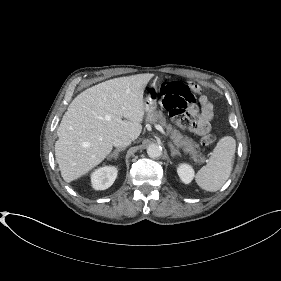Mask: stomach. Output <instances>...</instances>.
<instances>
[{"instance_id": "obj_1", "label": "stomach", "mask_w": 281, "mask_h": 281, "mask_svg": "<svg viewBox=\"0 0 281 281\" xmlns=\"http://www.w3.org/2000/svg\"><path fill=\"white\" fill-rule=\"evenodd\" d=\"M144 108L146 112H152L157 108L156 102V89L151 88L148 96L143 100Z\"/></svg>"}]
</instances>
